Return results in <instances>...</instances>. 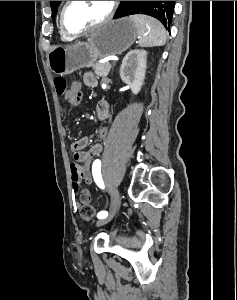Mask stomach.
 I'll return each instance as SVG.
<instances>
[{"label": "stomach", "mask_w": 237, "mask_h": 300, "mask_svg": "<svg viewBox=\"0 0 237 300\" xmlns=\"http://www.w3.org/2000/svg\"><path fill=\"white\" fill-rule=\"evenodd\" d=\"M138 35L130 19H117L104 23L86 41L69 47H51L47 53L48 67L55 75H71L83 67H91L96 59L113 57L129 49Z\"/></svg>", "instance_id": "stomach-1"}]
</instances>
